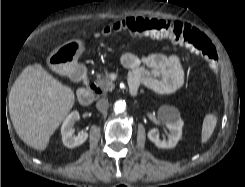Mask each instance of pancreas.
<instances>
[{"label": "pancreas", "mask_w": 245, "mask_h": 187, "mask_svg": "<svg viewBox=\"0 0 245 187\" xmlns=\"http://www.w3.org/2000/svg\"><path fill=\"white\" fill-rule=\"evenodd\" d=\"M97 80L96 84L100 87V89L104 92L112 91L115 87L113 81L109 79L108 72H105V74H97Z\"/></svg>", "instance_id": "obj_1"}]
</instances>
